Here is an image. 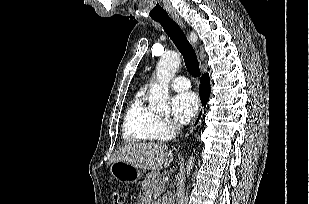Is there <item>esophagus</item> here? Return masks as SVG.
<instances>
[{"label":"esophagus","instance_id":"obj_1","mask_svg":"<svg viewBox=\"0 0 309 204\" xmlns=\"http://www.w3.org/2000/svg\"><path fill=\"white\" fill-rule=\"evenodd\" d=\"M170 16L182 27H185L183 24V21L180 19V17L176 14V13H170ZM189 39L191 40V42L193 44H195V42L197 41V38H192L189 36V33H187ZM203 112L204 109L202 106H200L199 111L196 115V118L194 119L193 123L191 124V126L189 127V129L187 130V133H191L193 132L197 126L199 125V123L201 122V119L203 117Z\"/></svg>","mask_w":309,"mask_h":204}]
</instances>
